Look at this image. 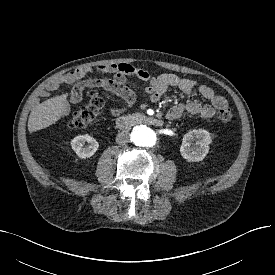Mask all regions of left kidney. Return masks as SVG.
<instances>
[{"label":"left kidney","instance_id":"1","mask_svg":"<svg viewBox=\"0 0 275 275\" xmlns=\"http://www.w3.org/2000/svg\"><path fill=\"white\" fill-rule=\"evenodd\" d=\"M195 141V145L193 142ZM212 142L210 133L204 129H194L186 133L182 140L180 153L189 162L202 161L209 152Z\"/></svg>","mask_w":275,"mask_h":275}]
</instances>
